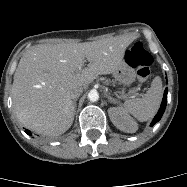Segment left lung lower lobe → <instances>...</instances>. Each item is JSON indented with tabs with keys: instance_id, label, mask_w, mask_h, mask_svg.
Here are the masks:
<instances>
[{
	"instance_id": "obj_1",
	"label": "left lung lower lobe",
	"mask_w": 187,
	"mask_h": 187,
	"mask_svg": "<svg viewBox=\"0 0 187 187\" xmlns=\"http://www.w3.org/2000/svg\"><path fill=\"white\" fill-rule=\"evenodd\" d=\"M166 104H167V88L164 92V96H163V100H162L160 109H159L158 113L155 115V117H154L153 121L151 122L150 126H153L155 123H157L161 119V117H162V115L165 111Z\"/></svg>"
}]
</instances>
